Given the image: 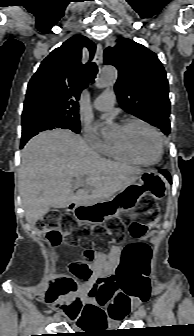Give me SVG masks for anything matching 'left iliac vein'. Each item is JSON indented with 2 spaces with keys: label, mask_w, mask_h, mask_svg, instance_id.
I'll return each instance as SVG.
<instances>
[{
  "label": "left iliac vein",
  "mask_w": 194,
  "mask_h": 336,
  "mask_svg": "<svg viewBox=\"0 0 194 336\" xmlns=\"http://www.w3.org/2000/svg\"><path fill=\"white\" fill-rule=\"evenodd\" d=\"M135 317H136V318H142V317H143L142 312H141L140 310H137V311L135 312Z\"/></svg>",
  "instance_id": "obj_1"
}]
</instances>
